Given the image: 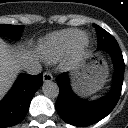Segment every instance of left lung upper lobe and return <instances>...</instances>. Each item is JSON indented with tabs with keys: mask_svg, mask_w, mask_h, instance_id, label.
Listing matches in <instances>:
<instances>
[{
	"mask_svg": "<svg viewBox=\"0 0 128 128\" xmlns=\"http://www.w3.org/2000/svg\"><path fill=\"white\" fill-rule=\"evenodd\" d=\"M94 27L97 31L98 47L116 41L114 37L110 35L107 31H105L103 28L99 27L98 25H94Z\"/></svg>",
	"mask_w": 128,
	"mask_h": 128,
	"instance_id": "5c2ea615",
	"label": "left lung upper lobe"
}]
</instances>
